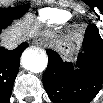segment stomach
Here are the masks:
<instances>
[{"label": "stomach", "instance_id": "obj_1", "mask_svg": "<svg viewBox=\"0 0 103 103\" xmlns=\"http://www.w3.org/2000/svg\"><path fill=\"white\" fill-rule=\"evenodd\" d=\"M79 41L78 37H72L65 40L53 41V45L64 58H68L71 57L78 49Z\"/></svg>", "mask_w": 103, "mask_h": 103}]
</instances>
